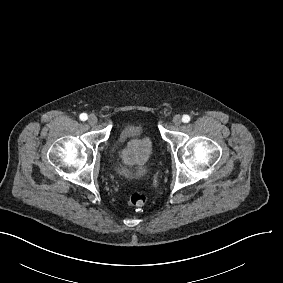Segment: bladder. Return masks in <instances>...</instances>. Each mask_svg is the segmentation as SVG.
<instances>
[{"instance_id":"obj_1","label":"bladder","mask_w":283,"mask_h":283,"mask_svg":"<svg viewBox=\"0 0 283 283\" xmlns=\"http://www.w3.org/2000/svg\"><path fill=\"white\" fill-rule=\"evenodd\" d=\"M144 132H145V129L140 124L126 125L113 138L114 145L118 149L119 147L124 145L126 142H128L130 139L142 138ZM114 159L117 162L116 156L114 157ZM110 170L111 172L122 173V171L118 170L115 167H111ZM123 172L126 173L128 176H130L133 173V170L131 168H126Z\"/></svg>"}]
</instances>
